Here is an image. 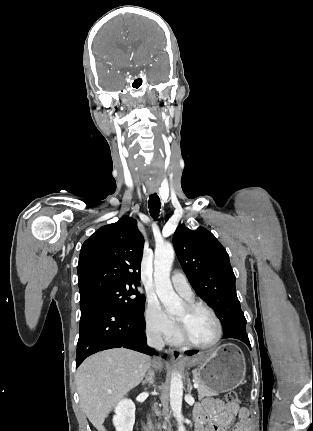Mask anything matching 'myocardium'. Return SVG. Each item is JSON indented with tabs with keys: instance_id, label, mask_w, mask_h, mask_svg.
I'll use <instances>...</instances> for the list:
<instances>
[{
	"instance_id": "obj_1",
	"label": "myocardium",
	"mask_w": 313,
	"mask_h": 431,
	"mask_svg": "<svg viewBox=\"0 0 313 431\" xmlns=\"http://www.w3.org/2000/svg\"><path fill=\"white\" fill-rule=\"evenodd\" d=\"M184 307H185L187 316L191 315L192 313L198 310H205L209 312L217 325V335H216V338L211 343H208V344L195 343L188 337L186 333V320L175 318L176 332L180 342L188 347L196 348V349H210L215 347L223 337V325L217 313L211 307L202 303L188 302L184 305Z\"/></svg>"
}]
</instances>
